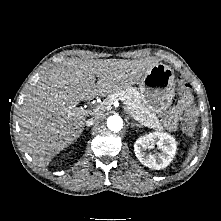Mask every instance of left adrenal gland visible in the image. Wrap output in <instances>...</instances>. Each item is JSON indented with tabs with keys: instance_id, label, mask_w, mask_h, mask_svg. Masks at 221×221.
<instances>
[{
	"instance_id": "left-adrenal-gland-1",
	"label": "left adrenal gland",
	"mask_w": 221,
	"mask_h": 221,
	"mask_svg": "<svg viewBox=\"0 0 221 221\" xmlns=\"http://www.w3.org/2000/svg\"><path fill=\"white\" fill-rule=\"evenodd\" d=\"M142 127L140 124L138 123H131V127L134 128V127Z\"/></svg>"
}]
</instances>
